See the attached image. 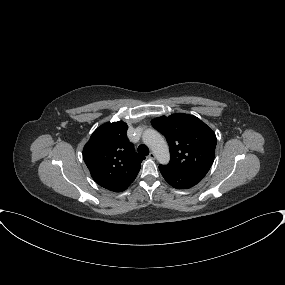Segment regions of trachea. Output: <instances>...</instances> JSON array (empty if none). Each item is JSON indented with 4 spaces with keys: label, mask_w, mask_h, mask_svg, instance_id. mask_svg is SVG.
I'll return each instance as SVG.
<instances>
[{
    "label": "trachea",
    "mask_w": 285,
    "mask_h": 285,
    "mask_svg": "<svg viewBox=\"0 0 285 285\" xmlns=\"http://www.w3.org/2000/svg\"><path fill=\"white\" fill-rule=\"evenodd\" d=\"M138 153L142 156H147L149 154V149L145 145H139Z\"/></svg>",
    "instance_id": "1"
}]
</instances>
